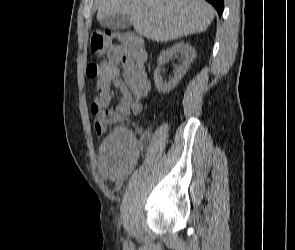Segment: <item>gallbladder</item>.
Segmentation results:
<instances>
[{"label": "gallbladder", "mask_w": 295, "mask_h": 250, "mask_svg": "<svg viewBox=\"0 0 295 250\" xmlns=\"http://www.w3.org/2000/svg\"><path fill=\"white\" fill-rule=\"evenodd\" d=\"M100 25L111 30H123L132 25L127 15H113L100 20Z\"/></svg>", "instance_id": "1"}]
</instances>
